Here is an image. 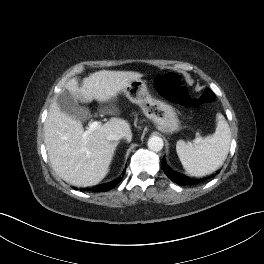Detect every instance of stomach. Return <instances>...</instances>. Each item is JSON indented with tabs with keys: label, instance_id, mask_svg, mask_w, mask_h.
I'll return each instance as SVG.
<instances>
[{
	"label": "stomach",
	"instance_id": "stomach-1",
	"mask_svg": "<svg viewBox=\"0 0 264 264\" xmlns=\"http://www.w3.org/2000/svg\"><path fill=\"white\" fill-rule=\"evenodd\" d=\"M127 98L142 109L144 115L164 132L180 130V122L175 109L154 98L148 91L145 81L136 79L123 89Z\"/></svg>",
	"mask_w": 264,
	"mask_h": 264
}]
</instances>
